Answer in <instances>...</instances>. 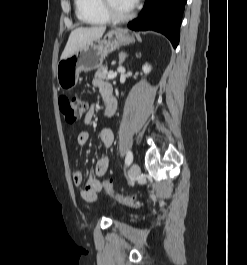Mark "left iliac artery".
Instances as JSON below:
<instances>
[{
	"label": "left iliac artery",
	"mask_w": 247,
	"mask_h": 265,
	"mask_svg": "<svg viewBox=\"0 0 247 265\" xmlns=\"http://www.w3.org/2000/svg\"><path fill=\"white\" fill-rule=\"evenodd\" d=\"M133 161V155L131 151L127 152L126 159H125V164L129 166Z\"/></svg>",
	"instance_id": "obj_1"
}]
</instances>
